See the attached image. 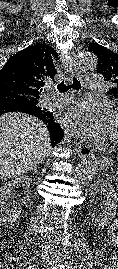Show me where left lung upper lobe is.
<instances>
[{"label": "left lung upper lobe", "instance_id": "5c2ea615", "mask_svg": "<svg viewBox=\"0 0 118 269\" xmlns=\"http://www.w3.org/2000/svg\"><path fill=\"white\" fill-rule=\"evenodd\" d=\"M88 51L97 55V73L102 74L106 81L112 83L113 87L109 92L118 98V54L98 43L90 44Z\"/></svg>", "mask_w": 118, "mask_h": 269}]
</instances>
